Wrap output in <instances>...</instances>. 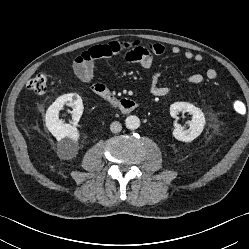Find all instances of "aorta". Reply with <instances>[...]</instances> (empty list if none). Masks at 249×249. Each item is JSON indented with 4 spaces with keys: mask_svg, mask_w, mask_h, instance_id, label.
<instances>
[{
    "mask_svg": "<svg viewBox=\"0 0 249 249\" xmlns=\"http://www.w3.org/2000/svg\"><path fill=\"white\" fill-rule=\"evenodd\" d=\"M125 125L130 130H135L140 126V119L135 115H130L125 120Z\"/></svg>",
    "mask_w": 249,
    "mask_h": 249,
    "instance_id": "aorta-1",
    "label": "aorta"
}]
</instances>
